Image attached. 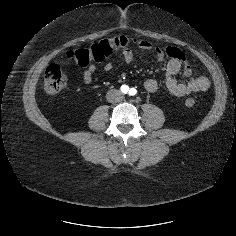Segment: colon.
I'll return each mask as SVG.
<instances>
[{
	"label": "colon",
	"mask_w": 236,
	"mask_h": 236,
	"mask_svg": "<svg viewBox=\"0 0 236 236\" xmlns=\"http://www.w3.org/2000/svg\"><path fill=\"white\" fill-rule=\"evenodd\" d=\"M133 41L125 36H114L100 40L98 43L79 49H69L64 56L68 60L76 62L78 65L85 67L90 62H102L110 56L114 51L123 50ZM67 77L63 70L57 64H51L47 67L44 74V89L49 94L60 92L66 85ZM186 105L192 107L194 101L186 100Z\"/></svg>",
	"instance_id": "colon-1"
}]
</instances>
